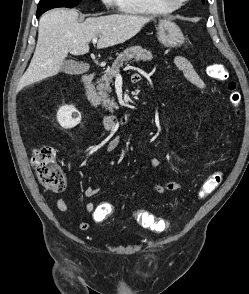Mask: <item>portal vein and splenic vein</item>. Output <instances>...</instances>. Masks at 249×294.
I'll return each mask as SVG.
<instances>
[{"instance_id": "18ae733b", "label": "portal vein and splenic vein", "mask_w": 249, "mask_h": 294, "mask_svg": "<svg viewBox=\"0 0 249 294\" xmlns=\"http://www.w3.org/2000/svg\"><path fill=\"white\" fill-rule=\"evenodd\" d=\"M92 41H93V44H96L97 43V37H94Z\"/></svg>"}]
</instances>
